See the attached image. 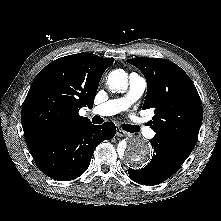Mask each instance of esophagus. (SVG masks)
<instances>
[{"instance_id":"obj_1","label":"esophagus","mask_w":221,"mask_h":221,"mask_svg":"<svg viewBox=\"0 0 221 221\" xmlns=\"http://www.w3.org/2000/svg\"><path fill=\"white\" fill-rule=\"evenodd\" d=\"M116 135H117L118 137H124V136L127 135V133H126L124 130H122V129H120V128H117V129H116Z\"/></svg>"}]
</instances>
